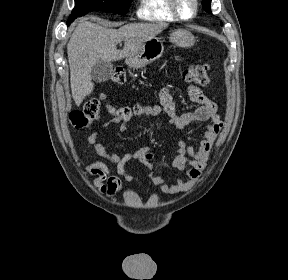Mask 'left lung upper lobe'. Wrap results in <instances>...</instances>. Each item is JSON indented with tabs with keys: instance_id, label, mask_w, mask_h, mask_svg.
Segmentation results:
<instances>
[{
	"instance_id": "left-lung-upper-lobe-1",
	"label": "left lung upper lobe",
	"mask_w": 288,
	"mask_h": 280,
	"mask_svg": "<svg viewBox=\"0 0 288 280\" xmlns=\"http://www.w3.org/2000/svg\"><path fill=\"white\" fill-rule=\"evenodd\" d=\"M202 6L206 12L211 13V0H202Z\"/></svg>"
}]
</instances>
